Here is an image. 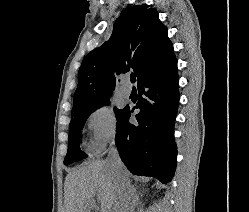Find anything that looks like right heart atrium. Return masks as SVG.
Masks as SVG:
<instances>
[{
  "label": "right heart atrium",
  "instance_id": "d8ad5b80",
  "mask_svg": "<svg viewBox=\"0 0 249 212\" xmlns=\"http://www.w3.org/2000/svg\"><path fill=\"white\" fill-rule=\"evenodd\" d=\"M87 137L91 150L103 153L117 139L118 123L113 110L107 105H98L86 116Z\"/></svg>",
  "mask_w": 249,
  "mask_h": 212
}]
</instances>
